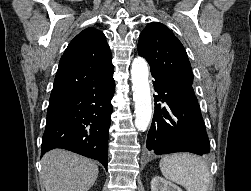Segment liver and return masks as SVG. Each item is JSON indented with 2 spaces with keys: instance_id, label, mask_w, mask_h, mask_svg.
Here are the masks:
<instances>
[{
  "instance_id": "obj_1",
  "label": "liver",
  "mask_w": 251,
  "mask_h": 191,
  "mask_svg": "<svg viewBox=\"0 0 251 191\" xmlns=\"http://www.w3.org/2000/svg\"><path fill=\"white\" fill-rule=\"evenodd\" d=\"M41 163V181L46 191H88L99 171L92 159L65 149H51Z\"/></svg>"
}]
</instances>
